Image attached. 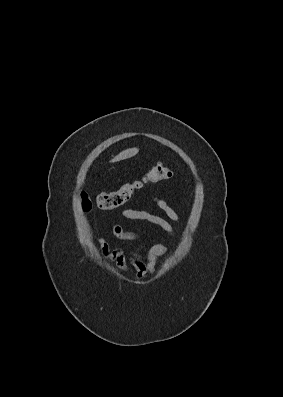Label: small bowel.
I'll return each instance as SVG.
<instances>
[{
  "mask_svg": "<svg viewBox=\"0 0 283 397\" xmlns=\"http://www.w3.org/2000/svg\"><path fill=\"white\" fill-rule=\"evenodd\" d=\"M155 204L166 214L168 219L144 210L125 208L120 214L123 218L146 222L161 228L167 234L174 235L173 223L180 221L177 212L162 198L157 195H151ZM112 234L122 242H140L139 246L133 250L128 256L120 247L112 248L109 243L99 238L98 243L101 248L102 255L105 259L115 264L122 272L128 271L132 267L138 279L143 280L149 275L157 272L158 259L169 252V246L162 243L153 244L149 247L142 242L138 233L125 230L120 224H113L111 228ZM146 250V256L141 255V251Z\"/></svg>",
  "mask_w": 283,
  "mask_h": 397,
  "instance_id": "c3829d8e",
  "label": "small bowel"
}]
</instances>
